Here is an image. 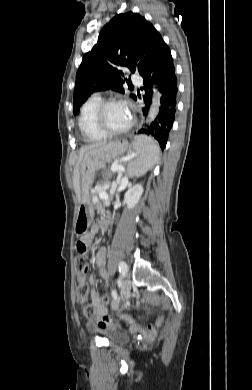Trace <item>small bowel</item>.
Here are the masks:
<instances>
[{"label":"small bowel","mask_w":252,"mask_h":390,"mask_svg":"<svg viewBox=\"0 0 252 390\" xmlns=\"http://www.w3.org/2000/svg\"><path fill=\"white\" fill-rule=\"evenodd\" d=\"M107 226H108V218L106 215H104L100 220H96L93 223L90 232L86 235H83L79 239V241L77 242V245H76L77 251L79 253H86L87 249H86V251L83 250L81 248V243H85L87 246L89 244V242L91 241L92 236L99 233V232H104L106 230ZM106 255H107L106 248L99 249L98 252L96 253V256H95V264H96V267H97L98 272H99L100 276L102 277V279L105 281V283H108V272L103 267L105 264V261H106ZM89 297H90V302H91L92 306L94 307L96 313L99 316L106 315L108 312L107 304L103 303L102 298H100L98 292L95 289L92 288L90 290ZM125 322H127L129 324L134 323L132 318H130L129 316H125Z\"/></svg>","instance_id":"small-bowel-1"}]
</instances>
